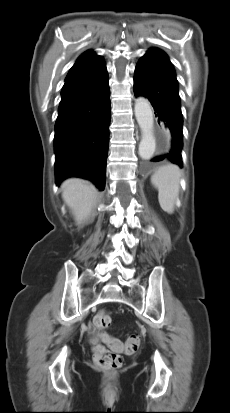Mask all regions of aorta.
<instances>
[{
  "instance_id": "obj_1",
  "label": "aorta",
  "mask_w": 230,
  "mask_h": 413,
  "mask_svg": "<svg viewBox=\"0 0 230 413\" xmlns=\"http://www.w3.org/2000/svg\"><path fill=\"white\" fill-rule=\"evenodd\" d=\"M135 116L141 129L139 155L142 159H150L156 148L154 135V114L150 102L144 97L135 100Z\"/></svg>"
}]
</instances>
